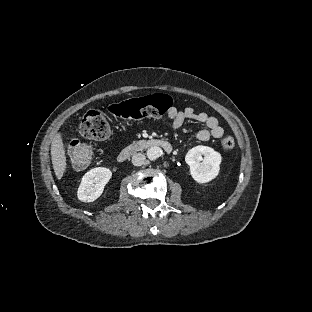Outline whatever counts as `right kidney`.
<instances>
[{
    "label": "right kidney",
    "mask_w": 312,
    "mask_h": 312,
    "mask_svg": "<svg viewBox=\"0 0 312 312\" xmlns=\"http://www.w3.org/2000/svg\"><path fill=\"white\" fill-rule=\"evenodd\" d=\"M112 172L106 167H97L84 174L77 189V198L82 202H93L103 193ZM96 182V184L94 183Z\"/></svg>",
    "instance_id": "ca27d5eb"
}]
</instances>
